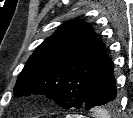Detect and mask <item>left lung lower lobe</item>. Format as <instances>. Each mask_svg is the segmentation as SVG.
<instances>
[{
    "mask_svg": "<svg viewBox=\"0 0 133 118\" xmlns=\"http://www.w3.org/2000/svg\"><path fill=\"white\" fill-rule=\"evenodd\" d=\"M118 99L119 95L113 73V63L111 58H109L97 80L90 89L84 102V108L89 110L93 107L103 106V109L109 110L107 105L118 101Z\"/></svg>",
    "mask_w": 133,
    "mask_h": 118,
    "instance_id": "1",
    "label": "left lung lower lobe"
}]
</instances>
